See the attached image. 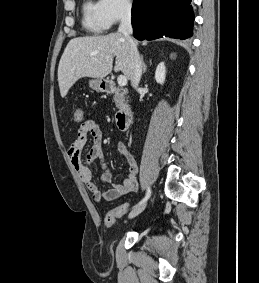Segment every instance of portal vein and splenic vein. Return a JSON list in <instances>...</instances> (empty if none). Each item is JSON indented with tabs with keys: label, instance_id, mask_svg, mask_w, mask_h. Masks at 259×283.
<instances>
[{
	"label": "portal vein and splenic vein",
	"instance_id": "portal-vein-and-splenic-vein-1",
	"mask_svg": "<svg viewBox=\"0 0 259 283\" xmlns=\"http://www.w3.org/2000/svg\"><path fill=\"white\" fill-rule=\"evenodd\" d=\"M118 81V85L121 86V87H124L127 85V78L123 75H120L117 79Z\"/></svg>",
	"mask_w": 259,
	"mask_h": 283
}]
</instances>
